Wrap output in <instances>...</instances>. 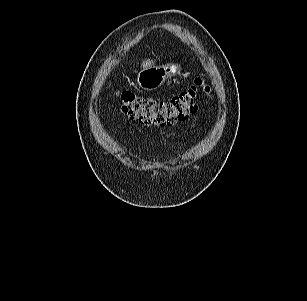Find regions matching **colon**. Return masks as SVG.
<instances>
[{
    "label": "colon",
    "mask_w": 307,
    "mask_h": 301,
    "mask_svg": "<svg viewBox=\"0 0 307 301\" xmlns=\"http://www.w3.org/2000/svg\"><path fill=\"white\" fill-rule=\"evenodd\" d=\"M209 87L202 78L167 100L139 97L131 92L117 93L121 111L129 118L145 125L170 126L186 120L197 110L202 93Z\"/></svg>",
    "instance_id": "colon-1"
}]
</instances>
